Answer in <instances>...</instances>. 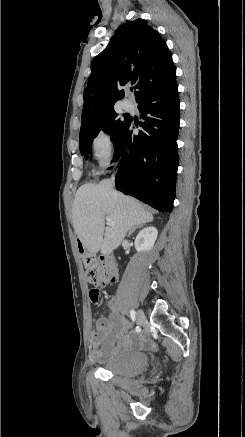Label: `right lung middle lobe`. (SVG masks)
I'll use <instances>...</instances> for the list:
<instances>
[{"instance_id":"1","label":"right lung middle lobe","mask_w":245,"mask_h":437,"mask_svg":"<svg viewBox=\"0 0 245 437\" xmlns=\"http://www.w3.org/2000/svg\"><path fill=\"white\" fill-rule=\"evenodd\" d=\"M117 116L118 114L114 111V108H112L100 114L93 121L81 126L79 141L80 152L83 156H88L93 139L100 130L109 133L114 146L116 145L123 129L130 120L129 118H125V120L122 121L117 118Z\"/></svg>"}]
</instances>
